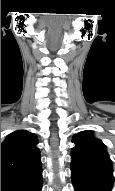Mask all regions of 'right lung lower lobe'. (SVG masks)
I'll return each mask as SVG.
<instances>
[{
  "label": "right lung lower lobe",
  "instance_id": "obj_1",
  "mask_svg": "<svg viewBox=\"0 0 115 191\" xmlns=\"http://www.w3.org/2000/svg\"><path fill=\"white\" fill-rule=\"evenodd\" d=\"M42 168L27 175L1 177V191H41Z\"/></svg>",
  "mask_w": 115,
  "mask_h": 191
}]
</instances>
